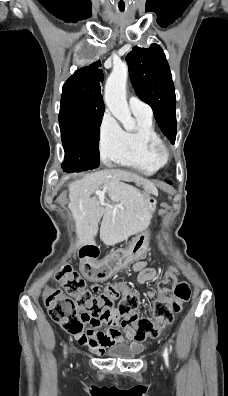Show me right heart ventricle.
<instances>
[{"label": "right heart ventricle", "instance_id": "e07e8e85", "mask_svg": "<svg viewBox=\"0 0 228 396\" xmlns=\"http://www.w3.org/2000/svg\"><path fill=\"white\" fill-rule=\"evenodd\" d=\"M134 115L137 128L133 131L124 132L121 150L113 162L145 175H152L161 166L150 158L147 152V144L149 141L160 137L154 127L152 116Z\"/></svg>", "mask_w": 228, "mask_h": 396}]
</instances>
